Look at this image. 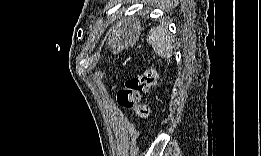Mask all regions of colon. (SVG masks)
I'll return each instance as SVG.
<instances>
[{"label":"colon","mask_w":261,"mask_h":156,"mask_svg":"<svg viewBox=\"0 0 261 156\" xmlns=\"http://www.w3.org/2000/svg\"><path fill=\"white\" fill-rule=\"evenodd\" d=\"M157 80L158 72L155 68L128 78L117 92V103L122 108L134 110L139 118L148 119L151 111L149 106L142 102V95L148 93Z\"/></svg>","instance_id":"obj_1"}]
</instances>
